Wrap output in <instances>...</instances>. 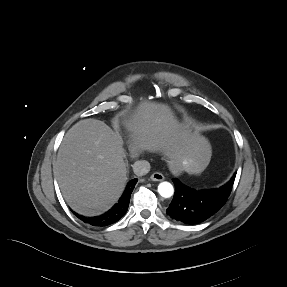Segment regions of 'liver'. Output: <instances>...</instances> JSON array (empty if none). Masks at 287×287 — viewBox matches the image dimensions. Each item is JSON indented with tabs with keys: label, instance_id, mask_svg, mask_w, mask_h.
<instances>
[{
	"label": "liver",
	"instance_id": "6515ba94",
	"mask_svg": "<svg viewBox=\"0 0 287 287\" xmlns=\"http://www.w3.org/2000/svg\"><path fill=\"white\" fill-rule=\"evenodd\" d=\"M129 133V151L162 152L172 173L189 166L201 173L211 159L209 142L192 133L174 116L169 106L141 102L124 119ZM120 136L104 122L84 119L66 133L58 151L56 169L64 199L77 213L100 215L121 196L127 181V164Z\"/></svg>",
	"mask_w": 287,
	"mask_h": 287
}]
</instances>
